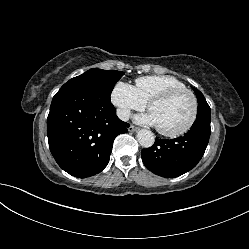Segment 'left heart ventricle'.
<instances>
[{
	"mask_svg": "<svg viewBox=\"0 0 249 249\" xmlns=\"http://www.w3.org/2000/svg\"><path fill=\"white\" fill-rule=\"evenodd\" d=\"M192 112L191 98L181 94L175 98L156 104L151 109V114L157 121V126L167 131L182 128L189 120Z\"/></svg>",
	"mask_w": 249,
	"mask_h": 249,
	"instance_id": "1",
	"label": "left heart ventricle"
}]
</instances>
